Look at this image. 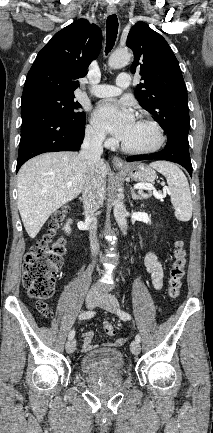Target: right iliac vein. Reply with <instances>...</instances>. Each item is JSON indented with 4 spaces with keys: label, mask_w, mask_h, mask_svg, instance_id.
<instances>
[{
    "label": "right iliac vein",
    "mask_w": 213,
    "mask_h": 433,
    "mask_svg": "<svg viewBox=\"0 0 213 433\" xmlns=\"http://www.w3.org/2000/svg\"><path fill=\"white\" fill-rule=\"evenodd\" d=\"M99 301H100V296L98 294H96V293H90L86 297L85 304H86L87 308L92 309L95 306H97V304L99 303ZM65 349H66L67 353H69V354L73 353L75 351V349H76V342H75V340L69 339L66 342Z\"/></svg>",
    "instance_id": "obj_1"
}]
</instances>
